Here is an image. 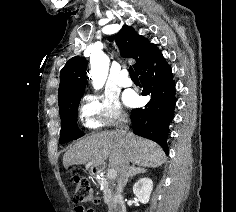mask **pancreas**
I'll list each match as a JSON object with an SVG mask.
<instances>
[{
	"label": "pancreas",
	"mask_w": 236,
	"mask_h": 212,
	"mask_svg": "<svg viewBox=\"0 0 236 212\" xmlns=\"http://www.w3.org/2000/svg\"><path fill=\"white\" fill-rule=\"evenodd\" d=\"M98 183L103 186L104 202L106 204H109L111 202V199H112V193H111V190L109 188L108 181L106 179H100V180H98Z\"/></svg>",
	"instance_id": "pancreas-1"
}]
</instances>
